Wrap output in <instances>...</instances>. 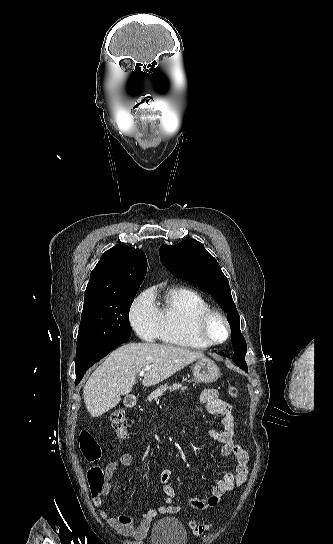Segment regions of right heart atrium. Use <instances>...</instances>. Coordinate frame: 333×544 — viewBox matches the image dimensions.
<instances>
[{"label": "right heart atrium", "mask_w": 333, "mask_h": 544, "mask_svg": "<svg viewBox=\"0 0 333 544\" xmlns=\"http://www.w3.org/2000/svg\"><path fill=\"white\" fill-rule=\"evenodd\" d=\"M130 322L137 335L145 341L160 336L161 321L151 290L141 293L130 310Z\"/></svg>", "instance_id": "obj_1"}]
</instances>
